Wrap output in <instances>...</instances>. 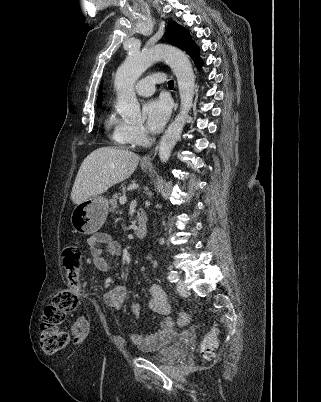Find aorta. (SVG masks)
Segmentation results:
<instances>
[{
    "label": "aorta",
    "mask_w": 321,
    "mask_h": 402,
    "mask_svg": "<svg viewBox=\"0 0 321 402\" xmlns=\"http://www.w3.org/2000/svg\"><path fill=\"white\" fill-rule=\"evenodd\" d=\"M158 60H165L175 74L181 99L180 112L165 131L159 145V158L162 163H166L181 136L195 94V76L187 55L169 45H155L144 51L130 50L115 76L116 110L125 118L141 117L134 84L142 73Z\"/></svg>",
    "instance_id": "aorta-1"
}]
</instances>
